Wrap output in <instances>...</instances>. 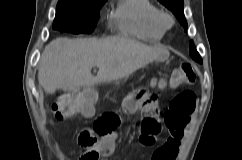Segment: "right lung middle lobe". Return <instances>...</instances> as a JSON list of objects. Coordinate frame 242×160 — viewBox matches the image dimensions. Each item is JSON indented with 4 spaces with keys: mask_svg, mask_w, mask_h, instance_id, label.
Masks as SVG:
<instances>
[{
    "mask_svg": "<svg viewBox=\"0 0 242 160\" xmlns=\"http://www.w3.org/2000/svg\"><path fill=\"white\" fill-rule=\"evenodd\" d=\"M107 0L59 1L53 29L61 32L91 33L99 17V10Z\"/></svg>",
    "mask_w": 242,
    "mask_h": 160,
    "instance_id": "obj_1",
    "label": "right lung middle lobe"
}]
</instances>
